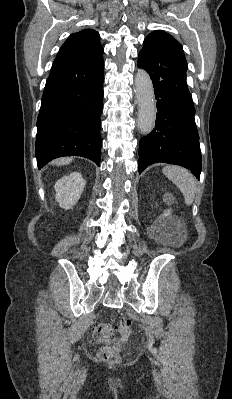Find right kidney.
<instances>
[{
  "instance_id": "1",
  "label": "right kidney",
  "mask_w": 232,
  "mask_h": 399,
  "mask_svg": "<svg viewBox=\"0 0 232 399\" xmlns=\"http://www.w3.org/2000/svg\"><path fill=\"white\" fill-rule=\"evenodd\" d=\"M85 186L86 182L80 172H72L69 176H63L54 186L55 200L58 201L60 207L71 209L79 200Z\"/></svg>"
}]
</instances>
